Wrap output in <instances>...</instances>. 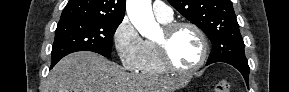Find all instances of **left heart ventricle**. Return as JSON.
Returning <instances> with one entry per match:
<instances>
[{
	"mask_svg": "<svg viewBox=\"0 0 289 92\" xmlns=\"http://www.w3.org/2000/svg\"><path fill=\"white\" fill-rule=\"evenodd\" d=\"M163 38V31L156 40ZM169 53L174 64L180 68H190L200 59L201 43L190 28L177 30L169 42Z\"/></svg>",
	"mask_w": 289,
	"mask_h": 92,
	"instance_id": "b2bd125f",
	"label": "left heart ventricle"
}]
</instances>
